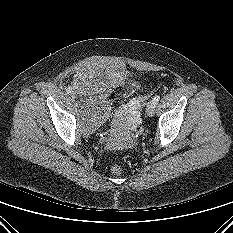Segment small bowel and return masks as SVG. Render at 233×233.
I'll return each mask as SVG.
<instances>
[{
  "label": "small bowel",
  "instance_id": "obj_1",
  "mask_svg": "<svg viewBox=\"0 0 233 233\" xmlns=\"http://www.w3.org/2000/svg\"><path fill=\"white\" fill-rule=\"evenodd\" d=\"M134 106L139 105V101L133 103Z\"/></svg>",
  "mask_w": 233,
  "mask_h": 233
}]
</instances>
